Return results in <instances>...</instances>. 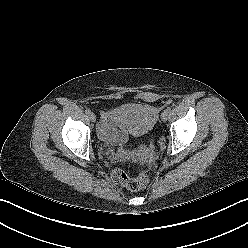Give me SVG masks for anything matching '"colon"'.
Wrapping results in <instances>:
<instances>
[{"label": "colon", "mask_w": 248, "mask_h": 248, "mask_svg": "<svg viewBox=\"0 0 248 248\" xmlns=\"http://www.w3.org/2000/svg\"><path fill=\"white\" fill-rule=\"evenodd\" d=\"M113 181L131 191H137L145 187L148 183V177L145 173H139L135 176H129L124 170H115L112 174Z\"/></svg>", "instance_id": "obj_1"}]
</instances>
